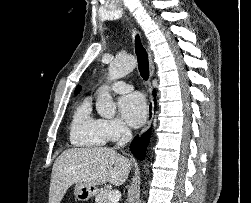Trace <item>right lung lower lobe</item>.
Masks as SVG:
<instances>
[{
  "instance_id": "obj_1",
  "label": "right lung lower lobe",
  "mask_w": 251,
  "mask_h": 203,
  "mask_svg": "<svg viewBox=\"0 0 251 203\" xmlns=\"http://www.w3.org/2000/svg\"><path fill=\"white\" fill-rule=\"evenodd\" d=\"M151 131H147L141 137H135L130 145V150L138 159L143 160L146 155V148L149 144Z\"/></svg>"
}]
</instances>
